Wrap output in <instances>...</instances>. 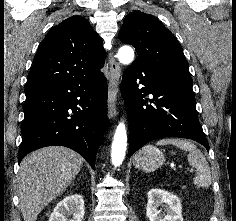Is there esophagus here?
<instances>
[{
	"label": "esophagus",
	"instance_id": "34e87169",
	"mask_svg": "<svg viewBox=\"0 0 236 221\" xmlns=\"http://www.w3.org/2000/svg\"><path fill=\"white\" fill-rule=\"evenodd\" d=\"M109 89H108V117L113 119L117 115V95L119 90V81L121 69L117 63L113 52L109 54Z\"/></svg>",
	"mask_w": 236,
	"mask_h": 221
}]
</instances>
